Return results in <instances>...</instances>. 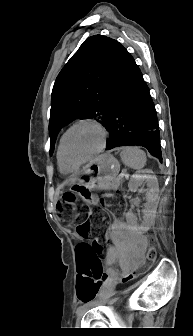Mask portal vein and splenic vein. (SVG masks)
Listing matches in <instances>:
<instances>
[{"instance_id":"obj_1","label":"portal vein and splenic vein","mask_w":193,"mask_h":336,"mask_svg":"<svg viewBox=\"0 0 193 336\" xmlns=\"http://www.w3.org/2000/svg\"><path fill=\"white\" fill-rule=\"evenodd\" d=\"M124 176H126V174L123 173V172L119 175V177H121V178H123Z\"/></svg>"}]
</instances>
